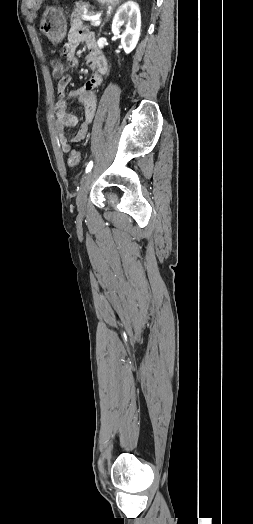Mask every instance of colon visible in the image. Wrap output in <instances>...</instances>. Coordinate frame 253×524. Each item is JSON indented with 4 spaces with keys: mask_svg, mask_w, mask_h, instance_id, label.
<instances>
[{
    "mask_svg": "<svg viewBox=\"0 0 253 524\" xmlns=\"http://www.w3.org/2000/svg\"><path fill=\"white\" fill-rule=\"evenodd\" d=\"M50 68L54 79H61L62 74L68 71V68L63 59L54 58L50 61ZM82 160V155L77 150H72L67 159V163L70 167H77Z\"/></svg>",
    "mask_w": 253,
    "mask_h": 524,
    "instance_id": "colon-1",
    "label": "colon"
}]
</instances>
